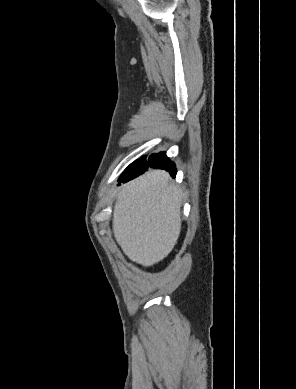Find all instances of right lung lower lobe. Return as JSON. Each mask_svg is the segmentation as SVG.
Instances as JSON below:
<instances>
[{
  "label": "right lung lower lobe",
  "mask_w": 296,
  "mask_h": 389,
  "mask_svg": "<svg viewBox=\"0 0 296 389\" xmlns=\"http://www.w3.org/2000/svg\"><path fill=\"white\" fill-rule=\"evenodd\" d=\"M149 167L154 169H164L168 171L172 177H175L176 175L175 164L170 161L165 152H163L158 153L155 156H150L148 164L144 168H127L118 181L125 183L131 179H134L135 177L147 171Z\"/></svg>",
  "instance_id": "obj_1"
}]
</instances>
